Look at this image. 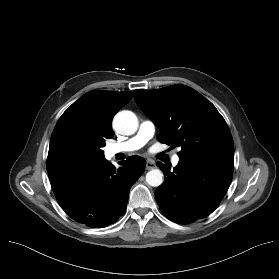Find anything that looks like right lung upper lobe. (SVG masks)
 Returning a JSON list of instances; mask_svg holds the SVG:
<instances>
[{
	"instance_id": "cb5924a9",
	"label": "right lung upper lobe",
	"mask_w": 279,
	"mask_h": 279,
	"mask_svg": "<svg viewBox=\"0 0 279 279\" xmlns=\"http://www.w3.org/2000/svg\"><path fill=\"white\" fill-rule=\"evenodd\" d=\"M132 98V92L95 90L81 96L59 118L50 140L49 153L60 138L78 134L96 145L112 138L113 116Z\"/></svg>"
}]
</instances>
